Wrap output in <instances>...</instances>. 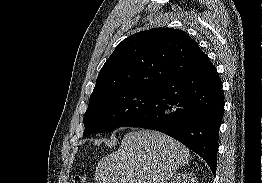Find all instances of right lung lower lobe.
Returning <instances> with one entry per match:
<instances>
[{
  "instance_id": "right-lung-lower-lobe-1",
  "label": "right lung lower lobe",
  "mask_w": 262,
  "mask_h": 183,
  "mask_svg": "<svg viewBox=\"0 0 262 183\" xmlns=\"http://www.w3.org/2000/svg\"><path fill=\"white\" fill-rule=\"evenodd\" d=\"M221 88L216 67L208 62L163 83L150 105L125 127L153 129L177 139L201 156L215 176L224 109Z\"/></svg>"
}]
</instances>
